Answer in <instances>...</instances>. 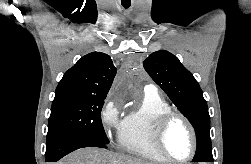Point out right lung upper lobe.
<instances>
[{"instance_id":"right-lung-upper-lobe-1","label":"right lung upper lobe","mask_w":251,"mask_h":164,"mask_svg":"<svg viewBox=\"0 0 251 164\" xmlns=\"http://www.w3.org/2000/svg\"><path fill=\"white\" fill-rule=\"evenodd\" d=\"M116 67L109 55L93 52L83 56L59 82L56 94L107 95Z\"/></svg>"}]
</instances>
